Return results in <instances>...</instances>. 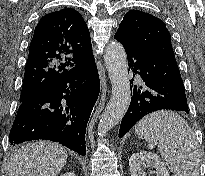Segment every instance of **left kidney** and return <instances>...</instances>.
Masks as SVG:
<instances>
[{
    "label": "left kidney",
    "mask_w": 205,
    "mask_h": 176,
    "mask_svg": "<svg viewBox=\"0 0 205 176\" xmlns=\"http://www.w3.org/2000/svg\"><path fill=\"white\" fill-rule=\"evenodd\" d=\"M131 176H146L143 168L152 167L157 176H170L164 163L155 153L141 150L131 155L129 159Z\"/></svg>",
    "instance_id": "1"
}]
</instances>
